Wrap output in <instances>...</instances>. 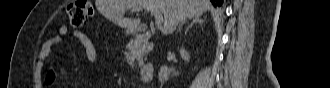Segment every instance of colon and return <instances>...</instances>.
Wrapping results in <instances>:
<instances>
[{"label":"colon","mask_w":330,"mask_h":88,"mask_svg":"<svg viewBox=\"0 0 330 88\" xmlns=\"http://www.w3.org/2000/svg\"><path fill=\"white\" fill-rule=\"evenodd\" d=\"M94 10L88 0H78L71 3L66 9V18L73 27H82L86 25L93 16Z\"/></svg>","instance_id":"colon-1"}]
</instances>
